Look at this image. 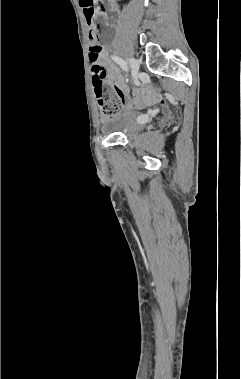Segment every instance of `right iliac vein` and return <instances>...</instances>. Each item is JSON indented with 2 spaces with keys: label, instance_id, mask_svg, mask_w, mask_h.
Instances as JSON below:
<instances>
[{
  "label": "right iliac vein",
  "instance_id": "1",
  "mask_svg": "<svg viewBox=\"0 0 241 379\" xmlns=\"http://www.w3.org/2000/svg\"><path fill=\"white\" fill-rule=\"evenodd\" d=\"M129 64L132 70V76L134 79H137L138 77V71H139V64L135 59H129Z\"/></svg>",
  "mask_w": 241,
  "mask_h": 379
}]
</instances>
